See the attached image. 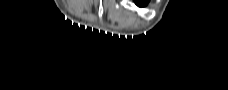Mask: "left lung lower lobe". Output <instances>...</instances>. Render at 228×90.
I'll return each instance as SVG.
<instances>
[{"instance_id":"left-lung-lower-lobe-1","label":"left lung lower lobe","mask_w":228,"mask_h":90,"mask_svg":"<svg viewBox=\"0 0 228 90\" xmlns=\"http://www.w3.org/2000/svg\"><path fill=\"white\" fill-rule=\"evenodd\" d=\"M146 2L144 1H136V4L139 5V6H143L145 5Z\"/></svg>"}]
</instances>
